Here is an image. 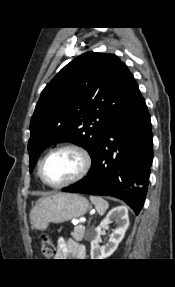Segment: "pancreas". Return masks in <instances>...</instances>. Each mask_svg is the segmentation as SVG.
Here are the masks:
<instances>
[{"mask_svg":"<svg viewBox=\"0 0 175 287\" xmlns=\"http://www.w3.org/2000/svg\"><path fill=\"white\" fill-rule=\"evenodd\" d=\"M85 227L78 225L74 227V230L71 232L73 238L77 241H82L84 239Z\"/></svg>","mask_w":175,"mask_h":287,"instance_id":"pancreas-1","label":"pancreas"}]
</instances>
